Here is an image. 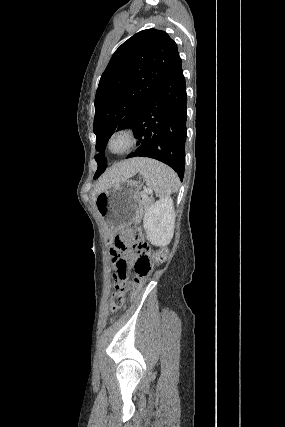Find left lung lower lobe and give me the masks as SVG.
<instances>
[{"label": "left lung lower lobe", "instance_id": "0a47b994", "mask_svg": "<svg viewBox=\"0 0 285 427\" xmlns=\"http://www.w3.org/2000/svg\"><path fill=\"white\" fill-rule=\"evenodd\" d=\"M181 58L144 104L131 128L140 145L131 157H150L184 177L186 141V86Z\"/></svg>", "mask_w": 285, "mask_h": 427}]
</instances>
